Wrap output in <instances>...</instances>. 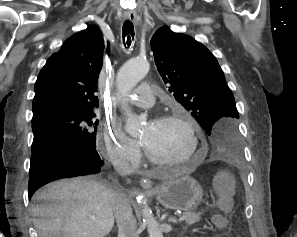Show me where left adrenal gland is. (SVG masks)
Masks as SVG:
<instances>
[{"mask_svg": "<svg viewBox=\"0 0 297 237\" xmlns=\"http://www.w3.org/2000/svg\"><path fill=\"white\" fill-rule=\"evenodd\" d=\"M170 222L177 223V221L174 218L169 219Z\"/></svg>", "mask_w": 297, "mask_h": 237, "instance_id": "obj_1", "label": "left adrenal gland"}]
</instances>
